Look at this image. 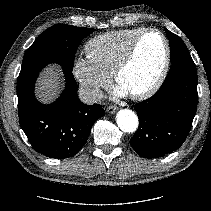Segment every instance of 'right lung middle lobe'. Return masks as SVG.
Here are the masks:
<instances>
[{
    "instance_id": "dd1d6c3e",
    "label": "right lung middle lobe",
    "mask_w": 211,
    "mask_h": 211,
    "mask_svg": "<svg viewBox=\"0 0 211 211\" xmlns=\"http://www.w3.org/2000/svg\"><path fill=\"white\" fill-rule=\"evenodd\" d=\"M92 32V28L67 24H58L46 29L26 50L21 71L48 63H57L72 71L77 47L82 39Z\"/></svg>"
}]
</instances>
